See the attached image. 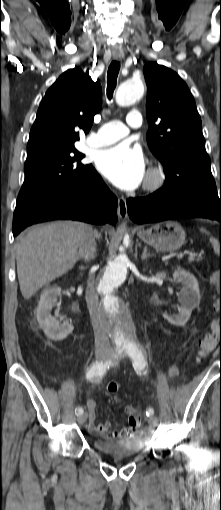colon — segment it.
Masks as SVG:
<instances>
[{
	"instance_id": "colon-1",
	"label": "colon",
	"mask_w": 221,
	"mask_h": 510,
	"mask_svg": "<svg viewBox=\"0 0 221 510\" xmlns=\"http://www.w3.org/2000/svg\"><path fill=\"white\" fill-rule=\"evenodd\" d=\"M214 281L218 284L221 292V272L218 276L214 277ZM219 343H221V307L219 318L212 324L211 330L198 343L199 359L206 358ZM118 388V383L114 381L110 382L107 386V390L111 394H115ZM116 401H119V399H116ZM135 414L138 415V411Z\"/></svg>"
}]
</instances>
